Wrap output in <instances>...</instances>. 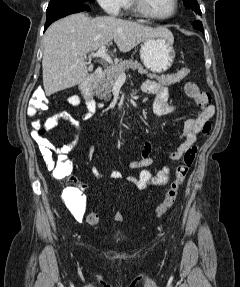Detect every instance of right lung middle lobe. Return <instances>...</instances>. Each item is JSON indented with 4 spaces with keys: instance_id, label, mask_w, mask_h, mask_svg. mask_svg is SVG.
I'll list each match as a JSON object with an SVG mask.
<instances>
[{
    "instance_id": "dd1d6c3e",
    "label": "right lung middle lobe",
    "mask_w": 240,
    "mask_h": 287,
    "mask_svg": "<svg viewBox=\"0 0 240 287\" xmlns=\"http://www.w3.org/2000/svg\"><path fill=\"white\" fill-rule=\"evenodd\" d=\"M94 1L95 0H50L46 14L58 8L73 6V5L88 4Z\"/></svg>"
}]
</instances>
